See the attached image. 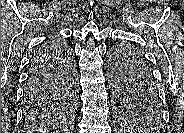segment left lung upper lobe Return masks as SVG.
<instances>
[{"mask_svg":"<svg viewBox=\"0 0 184 133\" xmlns=\"http://www.w3.org/2000/svg\"><path fill=\"white\" fill-rule=\"evenodd\" d=\"M118 110L138 125H153L162 119L158 92L142 93L135 82L144 81L156 89L151 68L139 50L130 45L114 49L110 61Z\"/></svg>","mask_w":184,"mask_h":133,"instance_id":"1","label":"left lung upper lobe"}]
</instances>
